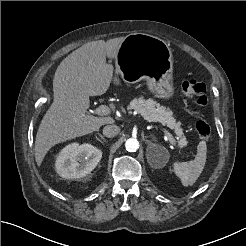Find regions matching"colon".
<instances>
[{"mask_svg": "<svg viewBox=\"0 0 246 246\" xmlns=\"http://www.w3.org/2000/svg\"><path fill=\"white\" fill-rule=\"evenodd\" d=\"M184 94L197 106L207 104L208 85L197 79H188L182 83ZM196 131L202 140H209L212 137V127L205 120L196 122Z\"/></svg>", "mask_w": 246, "mask_h": 246, "instance_id": "colon-1", "label": "colon"}]
</instances>
